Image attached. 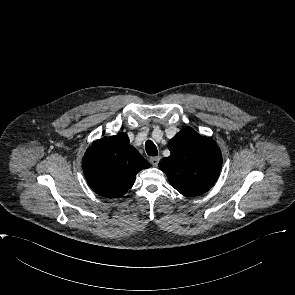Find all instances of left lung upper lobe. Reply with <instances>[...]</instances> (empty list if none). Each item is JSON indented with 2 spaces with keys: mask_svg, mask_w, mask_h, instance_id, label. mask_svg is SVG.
<instances>
[{
  "mask_svg": "<svg viewBox=\"0 0 295 295\" xmlns=\"http://www.w3.org/2000/svg\"><path fill=\"white\" fill-rule=\"evenodd\" d=\"M169 157L159 162L170 184L184 196H198L216 182L222 167L221 151L214 140L190 127L182 129L169 142Z\"/></svg>",
  "mask_w": 295,
  "mask_h": 295,
  "instance_id": "5c2ea615",
  "label": "left lung upper lobe"
}]
</instances>
